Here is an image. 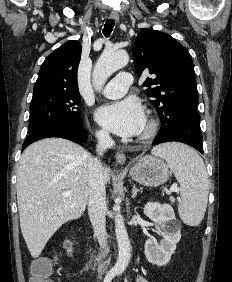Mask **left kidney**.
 <instances>
[{
  "mask_svg": "<svg viewBox=\"0 0 232 282\" xmlns=\"http://www.w3.org/2000/svg\"><path fill=\"white\" fill-rule=\"evenodd\" d=\"M144 214L155 223L156 232L163 237L160 243L154 238L148 239L145 242V255L150 263L164 266L170 261L181 239L180 225L169 204L149 202L144 207Z\"/></svg>",
  "mask_w": 232,
  "mask_h": 282,
  "instance_id": "5707ae66",
  "label": "left kidney"
}]
</instances>
